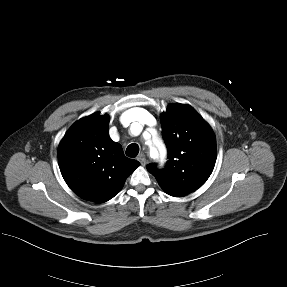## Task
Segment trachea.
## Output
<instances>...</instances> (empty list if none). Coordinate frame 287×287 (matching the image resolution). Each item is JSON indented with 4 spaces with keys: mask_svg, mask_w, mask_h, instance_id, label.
<instances>
[{
    "mask_svg": "<svg viewBox=\"0 0 287 287\" xmlns=\"http://www.w3.org/2000/svg\"><path fill=\"white\" fill-rule=\"evenodd\" d=\"M139 153V146L135 143L130 144L126 149V155L131 158H135Z\"/></svg>",
    "mask_w": 287,
    "mask_h": 287,
    "instance_id": "obj_1",
    "label": "trachea"
}]
</instances>
